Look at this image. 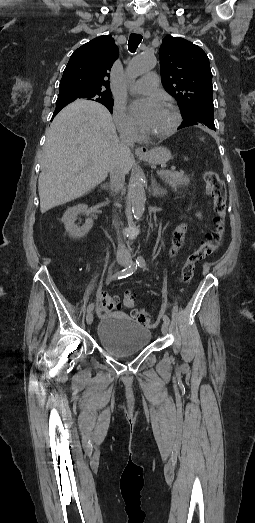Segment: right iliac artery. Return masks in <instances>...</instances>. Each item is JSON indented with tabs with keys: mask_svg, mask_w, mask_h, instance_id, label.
<instances>
[{
	"mask_svg": "<svg viewBox=\"0 0 255 523\" xmlns=\"http://www.w3.org/2000/svg\"><path fill=\"white\" fill-rule=\"evenodd\" d=\"M138 266H139V263L137 261L134 262L133 264H131L128 267H126L123 270H121L120 272H118V273L114 274L113 276H111L108 279V282H110V281H112L114 279H122V278L128 277L129 275L133 274L137 270ZM93 308H94V304L91 303V304H89V306L87 308V311H92Z\"/></svg>",
	"mask_w": 255,
	"mask_h": 523,
	"instance_id": "82829eb1",
	"label": "right iliac artery"
}]
</instances>
